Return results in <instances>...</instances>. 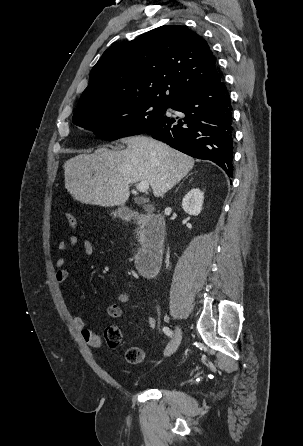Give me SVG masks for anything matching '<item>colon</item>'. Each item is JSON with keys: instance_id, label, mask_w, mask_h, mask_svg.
Here are the masks:
<instances>
[{"instance_id": "colon-1", "label": "colon", "mask_w": 303, "mask_h": 446, "mask_svg": "<svg viewBox=\"0 0 303 446\" xmlns=\"http://www.w3.org/2000/svg\"><path fill=\"white\" fill-rule=\"evenodd\" d=\"M67 222L73 229L78 227V221L74 214H66ZM104 339L111 348H117L123 343V335L119 327L111 325L104 330ZM144 358L143 350L137 346H130L125 351V359L130 364H139Z\"/></svg>"}]
</instances>
